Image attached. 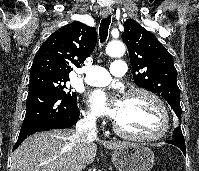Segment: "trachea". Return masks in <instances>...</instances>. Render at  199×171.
I'll return each instance as SVG.
<instances>
[{
  "mask_svg": "<svg viewBox=\"0 0 199 171\" xmlns=\"http://www.w3.org/2000/svg\"><path fill=\"white\" fill-rule=\"evenodd\" d=\"M110 23H111V16H108V17L102 19V21L100 23L99 37H100L101 43H104L108 36V29H109Z\"/></svg>",
  "mask_w": 199,
  "mask_h": 171,
  "instance_id": "3493384b",
  "label": "trachea"
}]
</instances>
